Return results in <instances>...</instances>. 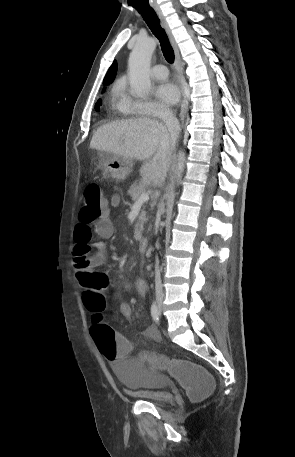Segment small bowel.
Here are the masks:
<instances>
[{
	"label": "small bowel",
	"mask_w": 295,
	"mask_h": 457,
	"mask_svg": "<svg viewBox=\"0 0 295 457\" xmlns=\"http://www.w3.org/2000/svg\"><path fill=\"white\" fill-rule=\"evenodd\" d=\"M120 203L121 197L115 194L110 198L108 207L116 208L120 205ZM113 234L114 226L108 214L100 218L92 225H86L82 223L76 225L74 251L76 247L82 245L87 246L89 248L86 267L78 269L74 266L75 278L82 287L83 292L87 290V272L93 271L101 273L100 268L104 265L108 258L107 244L104 240L110 239L113 236ZM94 235L98 236L101 240L92 242V238ZM92 249L94 250V252L90 253ZM136 290L140 296H145L147 286L144 280H137ZM119 309L124 317L130 318L132 316V307L130 303L122 302L120 304ZM146 333L151 337L157 336L156 328L152 324H149L147 326ZM126 341L128 340L126 339ZM112 363H114V361H112Z\"/></svg>",
	"instance_id": "small-bowel-1"
}]
</instances>
